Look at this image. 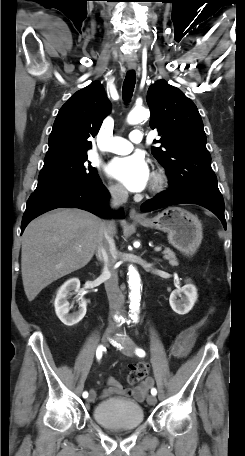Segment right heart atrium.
Returning <instances> with one entry per match:
<instances>
[{"mask_svg": "<svg viewBox=\"0 0 245 456\" xmlns=\"http://www.w3.org/2000/svg\"><path fill=\"white\" fill-rule=\"evenodd\" d=\"M108 191H109L110 195L116 199H121L125 195L124 189L120 185H117V184H111L108 187Z\"/></svg>", "mask_w": 245, "mask_h": 456, "instance_id": "right-heart-atrium-1", "label": "right heart atrium"}]
</instances>
